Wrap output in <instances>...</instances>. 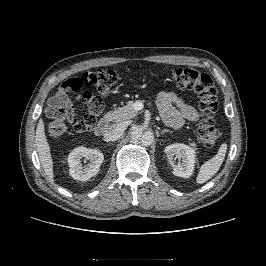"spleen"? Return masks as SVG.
<instances>
[{
    "mask_svg": "<svg viewBox=\"0 0 266 266\" xmlns=\"http://www.w3.org/2000/svg\"><path fill=\"white\" fill-rule=\"evenodd\" d=\"M226 152L227 144L223 143L220 146L217 154L201 165L200 171L196 178L197 184L205 183L218 172L225 159Z\"/></svg>",
    "mask_w": 266,
    "mask_h": 266,
    "instance_id": "obj_1",
    "label": "spleen"
}]
</instances>
